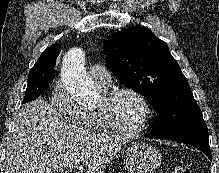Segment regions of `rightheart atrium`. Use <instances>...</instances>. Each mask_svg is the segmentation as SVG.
Wrapping results in <instances>:
<instances>
[{
  "instance_id": "1",
  "label": "right heart atrium",
  "mask_w": 219,
  "mask_h": 173,
  "mask_svg": "<svg viewBox=\"0 0 219 173\" xmlns=\"http://www.w3.org/2000/svg\"><path fill=\"white\" fill-rule=\"evenodd\" d=\"M50 103L55 111L72 122L81 124L82 110L71 98L63 83L54 84L51 92Z\"/></svg>"
}]
</instances>
